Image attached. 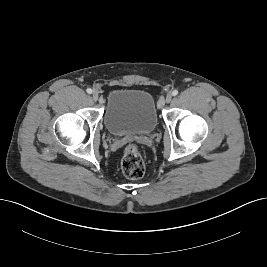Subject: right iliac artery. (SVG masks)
Returning <instances> with one entry per match:
<instances>
[{"mask_svg": "<svg viewBox=\"0 0 267 267\" xmlns=\"http://www.w3.org/2000/svg\"><path fill=\"white\" fill-rule=\"evenodd\" d=\"M86 91H87L88 94L92 93V89L91 88H88Z\"/></svg>", "mask_w": 267, "mask_h": 267, "instance_id": "82829eb1", "label": "right iliac artery"}]
</instances>
